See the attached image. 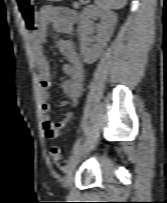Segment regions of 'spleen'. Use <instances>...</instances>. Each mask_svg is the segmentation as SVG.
I'll use <instances>...</instances> for the list:
<instances>
[{
	"mask_svg": "<svg viewBox=\"0 0 167 203\" xmlns=\"http://www.w3.org/2000/svg\"><path fill=\"white\" fill-rule=\"evenodd\" d=\"M95 3L103 9H121L123 8L127 0H95Z\"/></svg>",
	"mask_w": 167,
	"mask_h": 203,
	"instance_id": "spleen-1",
	"label": "spleen"
}]
</instances>
